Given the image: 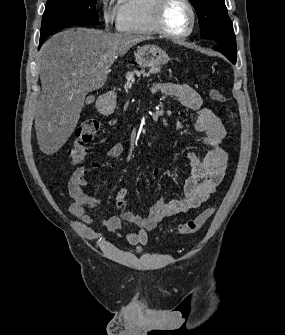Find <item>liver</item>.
Returning a JSON list of instances; mask_svg holds the SVG:
<instances>
[{
	"label": "liver",
	"instance_id": "1",
	"mask_svg": "<svg viewBox=\"0 0 285 335\" xmlns=\"http://www.w3.org/2000/svg\"><path fill=\"white\" fill-rule=\"evenodd\" d=\"M144 40L152 38L70 28L43 44L39 52L42 92L35 112L43 154L52 156L64 146L80 120L88 92L103 88L117 56Z\"/></svg>",
	"mask_w": 285,
	"mask_h": 335
}]
</instances>
